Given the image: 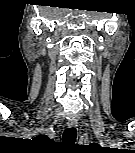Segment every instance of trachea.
Listing matches in <instances>:
<instances>
[{"label": "trachea", "mask_w": 135, "mask_h": 153, "mask_svg": "<svg viewBox=\"0 0 135 153\" xmlns=\"http://www.w3.org/2000/svg\"><path fill=\"white\" fill-rule=\"evenodd\" d=\"M76 128L71 127L64 130L63 143L74 144L76 140Z\"/></svg>", "instance_id": "trachea-1"}]
</instances>
